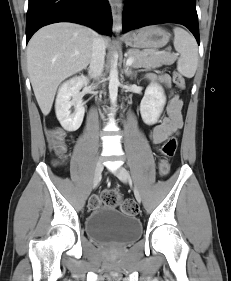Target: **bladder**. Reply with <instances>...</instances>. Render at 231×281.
Segmentation results:
<instances>
[{"mask_svg": "<svg viewBox=\"0 0 231 281\" xmlns=\"http://www.w3.org/2000/svg\"><path fill=\"white\" fill-rule=\"evenodd\" d=\"M85 231L95 241L124 245L140 237L142 225L138 218L105 206L86 217Z\"/></svg>", "mask_w": 231, "mask_h": 281, "instance_id": "1", "label": "bladder"}]
</instances>
